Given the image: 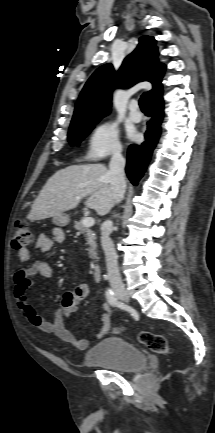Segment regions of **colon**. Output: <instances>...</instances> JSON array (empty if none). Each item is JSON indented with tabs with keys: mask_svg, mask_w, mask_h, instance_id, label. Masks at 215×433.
I'll use <instances>...</instances> for the list:
<instances>
[{
	"mask_svg": "<svg viewBox=\"0 0 215 433\" xmlns=\"http://www.w3.org/2000/svg\"><path fill=\"white\" fill-rule=\"evenodd\" d=\"M33 242V232L29 224L25 220H17L14 226V234L12 239V245L15 249H22ZM122 327L115 329L116 333L123 332ZM139 342L147 347L154 353L157 354H168L171 348L168 344L167 339L157 333L152 332H141L138 336Z\"/></svg>",
	"mask_w": 215,
	"mask_h": 433,
	"instance_id": "colon-1",
	"label": "colon"
}]
</instances>
